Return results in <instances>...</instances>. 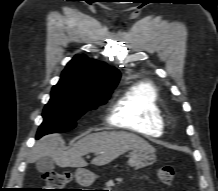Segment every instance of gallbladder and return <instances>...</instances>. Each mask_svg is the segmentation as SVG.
I'll use <instances>...</instances> for the list:
<instances>
[{
  "mask_svg": "<svg viewBox=\"0 0 218 191\" xmlns=\"http://www.w3.org/2000/svg\"><path fill=\"white\" fill-rule=\"evenodd\" d=\"M55 168L54 161L50 157H42L36 161V169L41 172H49Z\"/></svg>",
  "mask_w": 218,
  "mask_h": 191,
  "instance_id": "1",
  "label": "gallbladder"
}]
</instances>
